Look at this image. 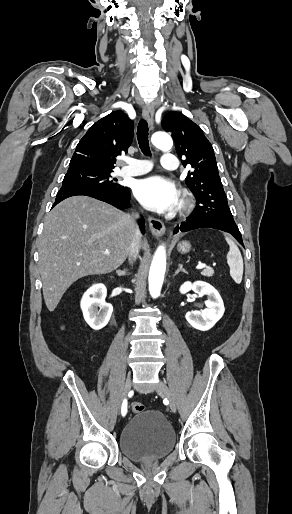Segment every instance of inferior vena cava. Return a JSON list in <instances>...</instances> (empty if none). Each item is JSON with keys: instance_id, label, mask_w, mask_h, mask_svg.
<instances>
[{"instance_id": "obj_1", "label": "inferior vena cava", "mask_w": 292, "mask_h": 514, "mask_svg": "<svg viewBox=\"0 0 292 514\" xmlns=\"http://www.w3.org/2000/svg\"><path fill=\"white\" fill-rule=\"evenodd\" d=\"M128 218H130L131 222H133V224L136 228L135 238L131 244V250L129 252V258H133V260H135V258H137V254H139V250H140L141 234H140V230H139L137 224H135L134 220H136V218H139V216H138V214H132V216H128Z\"/></svg>"}]
</instances>
